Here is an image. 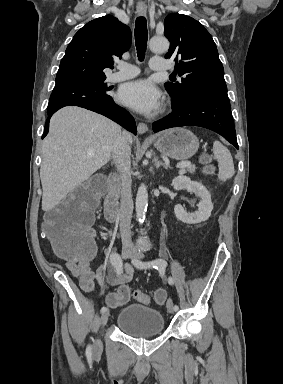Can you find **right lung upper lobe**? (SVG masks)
I'll return each mask as SVG.
<instances>
[{
  "mask_svg": "<svg viewBox=\"0 0 283 384\" xmlns=\"http://www.w3.org/2000/svg\"><path fill=\"white\" fill-rule=\"evenodd\" d=\"M131 44L130 29L106 15L88 22L73 37L61 60L54 88L105 80V68Z\"/></svg>",
  "mask_w": 283,
  "mask_h": 384,
  "instance_id": "obj_1",
  "label": "right lung upper lobe"
}]
</instances>
